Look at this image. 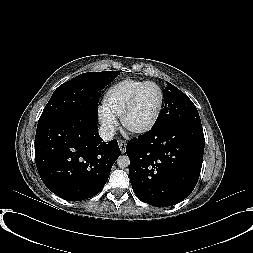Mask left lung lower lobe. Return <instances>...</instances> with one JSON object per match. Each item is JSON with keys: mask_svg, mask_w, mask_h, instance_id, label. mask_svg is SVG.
<instances>
[{"mask_svg": "<svg viewBox=\"0 0 253 253\" xmlns=\"http://www.w3.org/2000/svg\"><path fill=\"white\" fill-rule=\"evenodd\" d=\"M205 139L201 122H178L151 129L126 146L134 193L147 204L172 206L197 184Z\"/></svg>", "mask_w": 253, "mask_h": 253, "instance_id": "1", "label": "left lung lower lobe"}]
</instances>
